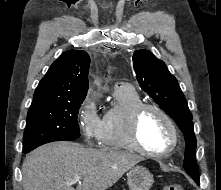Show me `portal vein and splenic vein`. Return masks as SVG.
<instances>
[{"label":"portal vein and splenic vein","instance_id":"obj_1","mask_svg":"<svg viewBox=\"0 0 221 190\" xmlns=\"http://www.w3.org/2000/svg\"><path fill=\"white\" fill-rule=\"evenodd\" d=\"M81 181V177L80 176H75L73 177L72 179V182L75 183V182H80Z\"/></svg>","mask_w":221,"mask_h":190}]
</instances>
